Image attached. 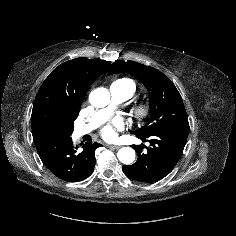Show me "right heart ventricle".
<instances>
[{"instance_id":"1","label":"right heart ventricle","mask_w":236,"mask_h":236,"mask_svg":"<svg viewBox=\"0 0 236 236\" xmlns=\"http://www.w3.org/2000/svg\"><path fill=\"white\" fill-rule=\"evenodd\" d=\"M114 82H118L120 84H123V85L127 86L130 89L131 96L134 94V92L136 90V86H135L134 82L130 79L121 78V79H117Z\"/></svg>"}]
</instances>
